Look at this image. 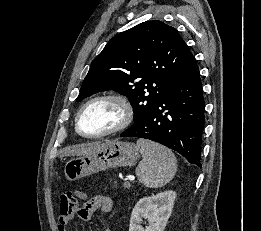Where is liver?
<instances>
[{
  "instance_id": "6515ba94",
  "label": "liver",
  "mask_w": 261,
  "mask_h": 231,
  "mask_svg": "<svg viewBox=\"0 0 261 231\" xmlns=\"http://www.w3.org/2000/svg\"><path fill=\"white\" fill-rule=\"evenodd\" d=\"M113 141L92 142L88 144H82L75 146L73 148H68L65 150L63 156H85L94 152H97L106 146L110 145Z\"/></svg>"
}]
</instances>
